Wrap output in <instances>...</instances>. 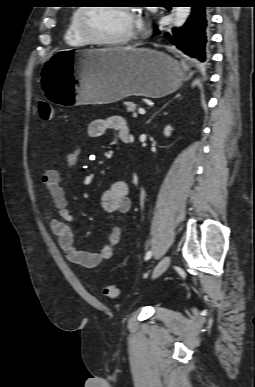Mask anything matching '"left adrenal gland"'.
Masks as SVG:
<instances>
[{"instance_id": "1", "label": "left adrenal gland", "mask_w": 255, "mask_h": 387, "mask_svg": "<svg viewBox=\"0 0 255 387\" xmlns=\"http://www.w3.org/2000/svg\"><path fill=\"white\" fill-rule=\"evenodd\" d=\"M170 102H168V103H166L163 107H161V109H159L157 112H155L151 117H150V119L146 122V124H149L151 121H152V119L162 110V109H164L168 104H169Z\"/></svg>"}]
</instances>
